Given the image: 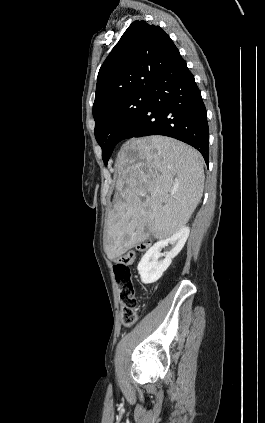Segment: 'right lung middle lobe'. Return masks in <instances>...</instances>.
Here are the masks:
<instances>
[{
	"instance_id": "1",
	"label": "right lung middle lobe",
	"mask_w": 265,
	"mask_h": 423,
	"mask_svg": "<svg viewBox=\"0 0 265 423\" xmlns=\"http://www.w3.org/2000/svg\"><path fill=\"white\" fill-rule=\"evenodd\" d=\"M149 99L150 90L133 93L106 109L95 119V138L102 148L105 165L121 135L144 109Z\"/></svg>"
}]
</instances>
